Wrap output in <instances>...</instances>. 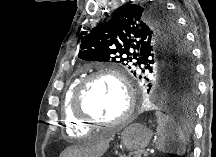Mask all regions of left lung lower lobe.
Masks as SVG:
<instances>
[{
  "mask_svg": "<svg viewBox=\"0 0 216 157\" xmlns=\"http://www.w3.org/2000/svg\"><path fill=\"white\" fill-rule=\"evenodd\" d=\"M195 75V69H194ZM197 93V87L194 89L191 86L185 87L180 92H170L168 91L166 94L174 99L175 104L178 106L176 114L178 116L177 123L184 130L185 133H188L190 130V123L192 118V107L190 106V102L195 100Z\"/></svg>",
  "mask_w": 216,
  "mask_h": 157,
  "instance_id": "obj_1",
  "label": "left lung lower lobe"
}]
</instances>
